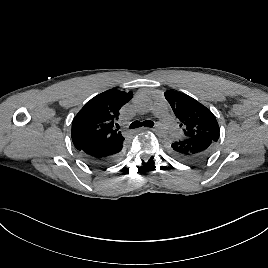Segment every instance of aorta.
Masks as SVG:
<instances>
[{"label": "aorta", "mask_w": 268, "mask_h": 268, "mask_svg": "<svg viewBox=\"0 0 268 268\" xmlns=\"http://www.w3.org/2000/svg\"><path fill=\"white\" fill-rule=\"evenodd\" d=\"M136 105H137L139 110L147 113L153 109L154 101L150 96L142 95L137 99ZM154 133H155V136L157 139L164 140L167 138L169 130H168L167 126L160 124V125L156 126Z\"/></svg>", "instance_id": "762f6f07"}]
</instances>
